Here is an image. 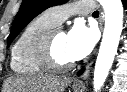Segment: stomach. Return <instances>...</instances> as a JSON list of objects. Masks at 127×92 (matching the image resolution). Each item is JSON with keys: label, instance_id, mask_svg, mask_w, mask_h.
Listing matches in <instances>:
<instances>
[{"label": "stomach", "instance_id": "obj_1", "mask_svg": "<svg viewBox=\"0 0 127 92\" xmlns=\"http://www.w3.org/2000/svg\"><path fill=\"white\" fill-rule=\"evenodd\" d=\"M74 92H84L83 89H74Z\"/></svg>", "mask_w": 127, "mask_h": 92}]
</instances>
